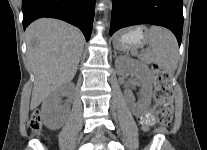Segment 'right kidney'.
<instances>
[{
  "label": "right kidney",
  "mask_w": 207,
  "mask_h": 150,
  "mask_svg": "<svg viewBox=\"0 0 207 150\" xmlns=\"http://www.w3.org/2000/svg\"><path fill=\"white\" fill-rule=\"evenodd\" d=\"M72 91L71 85H64L52 92L41 107V118L46 127L51 130L61 128L65 121V115L69 106H58L61 97L68 96Z\"/></svg>",
  "instance_id": "1"
}]
</instances>
